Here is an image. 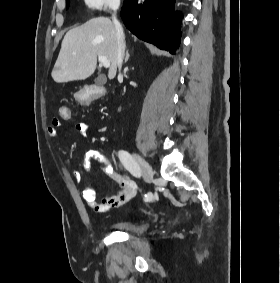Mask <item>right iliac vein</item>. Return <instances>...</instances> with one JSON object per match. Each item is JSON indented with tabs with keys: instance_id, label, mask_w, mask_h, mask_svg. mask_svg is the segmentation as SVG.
<instances>
[{
	"instance_id": "obj_1",
	"label": "right iliac vein",
	"mask_w": 280,
	"mask_h": 283,
	"mask_svg": "<svg viewBox=\"0 0 280 283\" xmlns=\"http://www.w3.org/2000/svg\"><path fill=\"white\" fill-rule=\"evenodd\" d=\"M135 157L141 167L142 175L144 180L149 183L151 182L153 178V169L149 165V163L140 155V154H135Z\"/></svg>"
}]
</instances>
